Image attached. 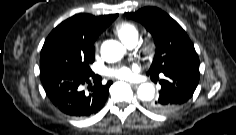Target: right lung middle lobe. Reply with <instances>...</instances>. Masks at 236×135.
Wrapping results in <instances>:
<instances>
[{"mask_svg": "<svg viewBox=\"0 0 236 135\" xmlns=\"http://www.w3.org/2000/svg\"><path fill=\"white\" fill-rule=\"evenodd\" d=\"M94 41L71 29L51 32L41 50V71L92 72Z\"/></svg>", "mask_w": 236, "mask_h": 135, "instance_id": "dd1d6c3e", "label": "right lung middle lobe"}]
</instances>
